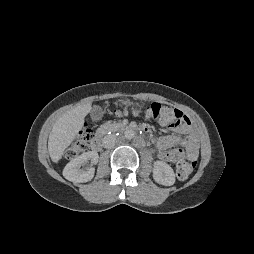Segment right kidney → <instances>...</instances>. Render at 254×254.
Returning <instances> with one entry per match:
<instances>
[{
  "label": "right kidney",
  "instance_id": "1",
  "mask_svg": "<svg viewBox=\"0 0 254 254\" xmlns=\"http://www.w3.org/2000/svg\"><path fill=\"white\" fill-rule=\"evenodd\" d=\"M99 155L95 151L84 152L71 160L63 170V176L74 183L88 182L94 177V164L98 162ZM90 166H87L88 162Z\"/></svg>",
  "mask_w": 254,
  "mask_h": 254
}]
</instances>
